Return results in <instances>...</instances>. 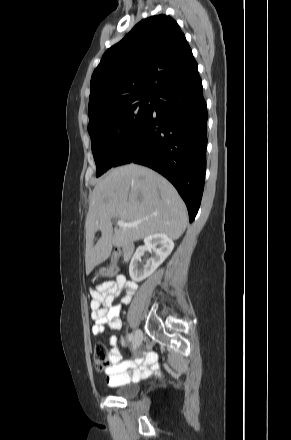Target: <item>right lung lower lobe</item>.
Instances as JSON below:
<instances>
[{
  "label": "right lung lower lobe",
  "instance_id": "obj_1",
  "mask_svg": "<svg viewBox=\"0 0 291 440\" xmlns=\"http://www.w3.org/2000/svg\"><path fill=\"white\" fill-rule=\"evenodd\" d=\"M202 89L197 67L161 88L112 166L134 162L165 176L185 201L190 222L201 203L206 172L208 113Z\"/></svg>",
  "mask_w": 291,
  "mask_h": 440
}]
</instances>
